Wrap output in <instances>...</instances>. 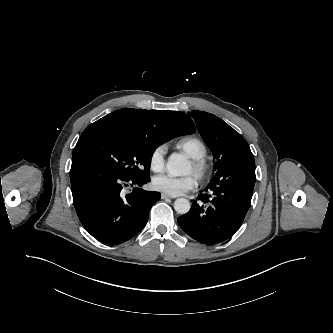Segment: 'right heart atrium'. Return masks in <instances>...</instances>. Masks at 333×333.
I'll use <instances>...</instances> for the list:
<instances>
[{
  "mask_svg": "<svg viewBox=\"0 0 333 333\" xmlns=\"http://www.w3.org/2000/svg\"><path fill=\"white\" fill-rule=\"evenodd\" d=\"M149 167L153 172L159 173L164 170L165 167V147H156L149 157Z\"/></svg>",
  "mask_w": 333,
  "mask_h": 333,
  "instance_id": "1",
  "label": "right heart atrium"
}]
</instances>
